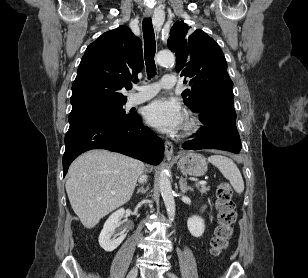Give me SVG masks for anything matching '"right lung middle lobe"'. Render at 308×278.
I'll return each mask as SVG.
<instances>
[{
	"mask_svg": "<svg viewBox=\"0 0 308 278\" xmlns=\"http://www.w3.org/2000/svg\"><path fill=\"white\" fill-rule=\"evenodd\" d=\"M122 104L108 106L105 108L90 111L84 114L69 116V122H73L85 118H99L107 121H118L132 119L135 114H126Z\"/></svg>",
	"mask_w": 308,
	"mask_h": 278,
	"instance_id": "dd1d6c3e",
	"label": "right lung middle lobe"
}]
</instances>
